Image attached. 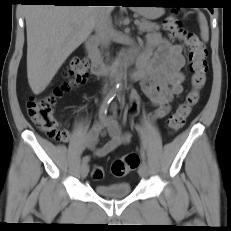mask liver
I'll return each instance as SVG.
<instances>
[{"instance_id": "liver-1", "label": "liver", "mask_w": 231, "mask_h": 231, "mask_svg": "<svg viewBox=\"0 0 231 231\" xmlns=\"http://www.w3.org/2000/svg\"><path fill=\"white\" fill-rule=\"evenodd\" d=\"M97 6L28 5L23 8L27 31V77L39 94L66 59L95 28ZM110 11L113 6H109Z\"/></svg>"}]
</instances>
